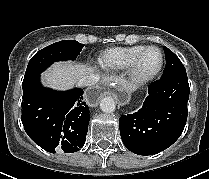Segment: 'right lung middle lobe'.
<instances>
[{
    "instance_id": "obj_1",
    "label": "right lung middle lobe",
    "mask_w": 209,
    "mask_h": 179,
    "mask_svg": "<svg viewBox=\"0 0 209 179\" xmlns=\"http://www.w3.org/2000/svg\"><path fill=\"white\" fill-rule=\"evenodd\" d=\"M83 47L84 44L75 40H65L56 42L38 51L29 61L22 88H25L53 62L76 59Z\"/></svg>"
}]
</instances>
